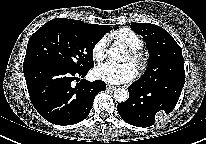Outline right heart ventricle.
<instances>
[{
  "label": "right heart ventricle",
  "mask_w": 206,
  "mask_h": 144,
  "mask_svg": "<svg viewBox=\"0 0 206 144\" xmlns=\"http://www.w3.org/2000/svg\"><path fill=\"white\" fill-rule=\"evenodd\" d=\"M111 37L125 44L130 50H139L143 47L141 37L128 28H121L111 34Z\"/></svg>",
  "instance_id": "obj_1"
}]
</instances>
